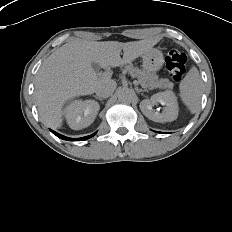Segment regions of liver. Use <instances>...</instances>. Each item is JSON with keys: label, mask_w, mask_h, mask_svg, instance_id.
Returning <instances> with one entry per match:
<instances>
[{"label": "liver", "mask_w": 232, "mask_h": 232, "mask_svg": "<svg viewBox=\"0 0 232 232\" xmlns=\"http://www.w3.org/2000/svg\"><path fill=\"white\" fill-rule=\"evenodd\" d=\"M157 42V39L126 43L74 39L61 46L43 62L36 76L34 94L41 122L53 129L60 128L66 101L96 91L104 80L98 78L92 62L102 68L121 66L143 55Z\"/></svg>", "instance_id": "liver-1"}]
</instances>
